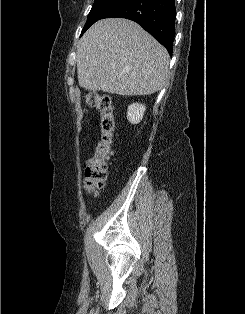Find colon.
I'll list each match as a JSON object with an SVG mask.
<instances>
[{"mask_svg":"<svg viewBox=\"0 0 245 314\" xmlns=\"http://www.w3.org/2000/svg\"><path fill=\"white\" fill-rule=\"evenodd\" d=\"M86 104L100 113V134L95 145V154L86 162L85 188L89 193L101 189L107 178V161L113 152L116 120L112 99L109 95L89 92Z\"/></svg>","mask_w":245,"mask_h":314,"instance_id":"obj_1","label":"colon"}]
</instances>
